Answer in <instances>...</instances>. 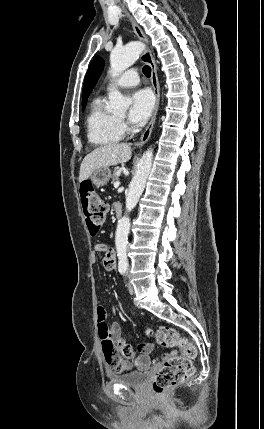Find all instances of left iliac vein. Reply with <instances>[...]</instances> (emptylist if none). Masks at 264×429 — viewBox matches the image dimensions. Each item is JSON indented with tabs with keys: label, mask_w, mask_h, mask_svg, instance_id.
I'll return each mask as SVG.
<instances>
[{
	"label": "left iliac vein",
	"mask_w": 264,
	"mask_h": 429,
	"mask_svg": "<svg viewBox=\"0 0 264 429\" xmlns=\"http://www.w3.org/2000/svg\"><path fill=\"white\" fill-rule=\"evenodd\" d=\"M127 287H128L129 293L131 295H133L134 294V289H133V286L131 285L130 282L127 283Z\"/></svg>",
	"instance_id": "1"
}]
</instances>
